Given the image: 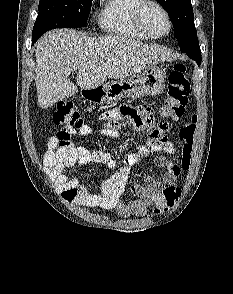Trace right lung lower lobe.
Instances as JSON below:
<instances>
[{
  "label": "right lung lower lobe",
  "mask_w": 233,
  "mask_h": 294,
  "mask_svg": "<svg viewBox=\"0 0 233 294\" xmlns=\"http://www.w3.org/2000/svg\"><path fill=\"white\" fill-rule=\"evenodd\" d=\"M38 39V38H37ZM37 39H33L32 40V44H34L36 41H37Z\"/></svg>",
  "instance_id": "right-lung-lower-lobe-1"
}]
</instances>
